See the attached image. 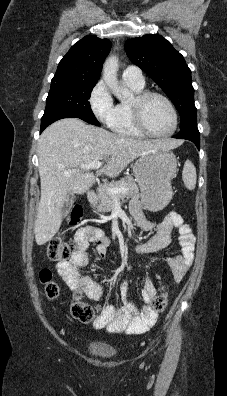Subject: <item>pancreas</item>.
<instances>
[{
  "instance_id": "pancreas-1",
  "label": "pancreas",
  "mask_w": 227,
  "mask_h": 396,
  "mask_svg": "<svg viewBox=\"0 0 227 396\" xmlns=\"http://www.w3.org/2000/svg\"><path fill=\"white\" fill-rule=\"evenodd\" d=\"M109 187L111 188H126L128 189L127 193H117V194H110L107 192L106 188H101L98 191V200L99 204L95 207L94 211L98 213H106L112 211L114 199H121L124 198H139V188L131 176H127L126 178L114 182Z\"/></svg>"
}]
</instances>
